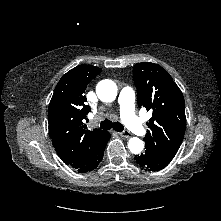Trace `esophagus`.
<instances>
[{
    "label": "esophagus",
    "instance_id": "esophagus-1",
    "mask_svg": "<svg viewBox=\"0 0 221 221\" xmlns=\"http://www.w3.org/2000/svg\"><path fill=\"white\" fill-rule=\"evenodd\" d=\"M121 137H124V138H129L131 137V133L129 131H123V132H120L118 133Z\"/></svg>",
    "mask_w": 221,
    "mask_h": 221
}]
</instances>
